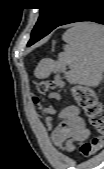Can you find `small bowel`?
Instances as JSON below:
<instances>
[{
    "label": "small bowel",
    "instance_id": "obj_1",
    "mask_svg": "<svg viewBox=\"0 0 104 169\" xmlns=\"http://www.w3.org/2000/svg\"><path fill=\"white\" fill-rule=\"evenodd\" d=\"M90 137L84 119L77 107L70 106L61 114V121L54 130L52 138L56 145L68 151L73 149L74 142H83Z\"/></svg>",
    "mask_w": 104,
    "mask_h": 169
}]
</instances>
